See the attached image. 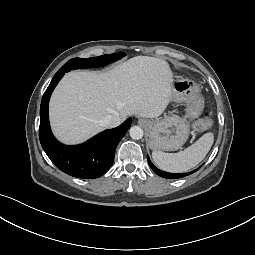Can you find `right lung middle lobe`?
I'll return each instance as SVG.
<instances>
[{"mask_svg": "<svg viewBox=\"0 0 255 255\" xmlns=\"http://www.w3.org/2000/svg\"><path fill=\"white\" fill-rule=\"evenodd\" d=\"M125 54L122 52L113 53L108 55H102L99 57H91L87 59L83 58H74L69 60L66 64H64L59 71L66 70L67 72L70 70L78 69V68H92V67H100L104 66L108 63L117 61L121 59Z\"/></svg>", "mask_w": 255, "mask_h": 255, "instance_id": "right-lung-middle-lobe-1", "label": "right lung middle lobe"}]
</instances>
